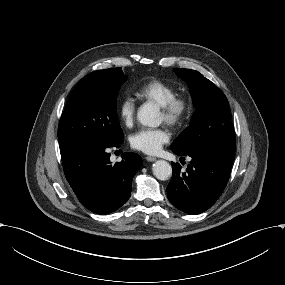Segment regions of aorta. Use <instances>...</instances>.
Listing matches in <instances>:
<instances>
[{
    "mask_svg": "<svg viewBox=\"0 0 285 285\" xmlns=\"http://www.w3.org/2000/svg\"><path fill=\"white\" fill-rule=\"evenodd\" d=\"M138 121L148 127H157L160 124L159 112L156 107L146 105L137 113ZM153 173L159 180H167L172 175V167L165 160H158L153 164Z\"/></svg>",
    "mask_w": 285,
    "mask_h": 285,
    "instance_id": "aorta-1",
    "label": "aorta"
}]
</instances>
